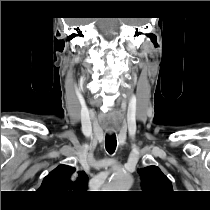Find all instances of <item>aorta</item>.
Masks as SVG:
<instances>
[{
  "mask_svg": "<svg viewBox=\"0 0 210 210\" xmlns=\"http://www.w3.org/2000/svg\"><path fill=\"white\" fill-rule=\"evenodd\" d=\"M132 175L124 170L116 171L110 178L109 184L106 189H112L114 191H128L132 186Z\"/></svg>",
  "mask_w": 210,
  "mask_h": 210,
  "instance_id": "obj_1",
  "label": "aorta"
}]
</instances>
